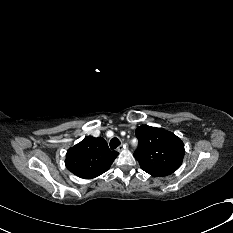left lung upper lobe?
<instances>
[{"label":"left lung upper lobe","instance_id":"left-lung-upper-lobe-1","mask_svg":"<svg viewBox=\"0 0 233 233\" xmlns=\"http://www.w3.org/2000/svg\"><path fill=\"white\" fill-rule=\"evenodd\" d=\"M138 148L134 157L142 170L154 177L175 172L182 164L184 144L174 133L148 125L136 128Z\"/></svg>","mask_w":233,"mask_h":233}]
</instances>
